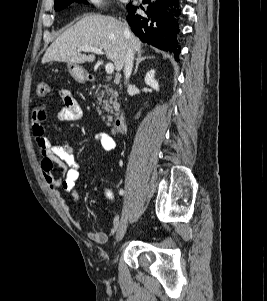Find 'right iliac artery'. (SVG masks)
<instances>
[{
	"label": "right iliac artery",
	"mask_w": 267,
	"mask_h": 301,
	"mask_svg": "<svg viewBox=\"0 0 267 301\" xmlns=\"http://www.w3.org/2000/svg\"><path fill=\"white\" fill-rule=\"evenodd\" d=\"M119 194H120V195H123V194H124V190L121 189V190L119 191Z\"/></svg>",
	"instance_id": "obj_1"
}]
</instances>
